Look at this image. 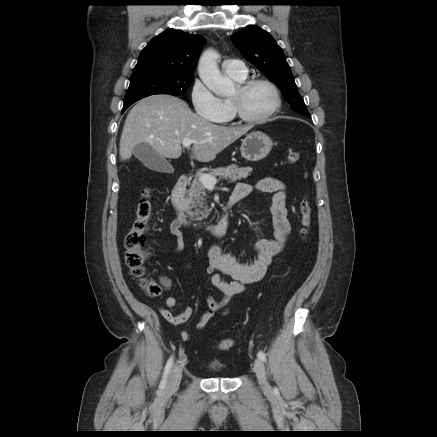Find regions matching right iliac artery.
Masks as SVG:
<instances>
[{"label":"right iliac artery","mask_w":437,"mask_h":437,"mask_svg":"<svg viewBox=\"0 0 437 437\" xmlns=\"http://www.w3.org/2000/svg\"><path fill=\"white\" fill-rule=\"evenodd\" d=\"M173 361H174V357L171 356L168 359L167 363H166V366H165V369H164V373H163V377H162V380H161L160 385H159L160 389H164L165 386H166L167 378H168L169 372H170V370L172 368Z\"/></svg>","instance_id":"right-iliac-artery-1"}]
</instances>
